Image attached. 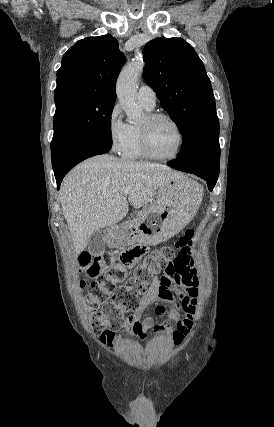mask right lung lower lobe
<instances>
[{
    "instance_id": "right-lung-lower-lobe-1",
    "label": "right lung lower lobe",
    "mask_w": 274,
    "mask_h": 427,
    "mask_svg": "<svg viewBox=\"0 0 274 427\" xmlns=\"http://www.w3.org/2000/svg\"><path fill=\"white\" fill-rule=\"evenodd\" d=\"M112 147L111 142L94 141L87 143L80 148L70 153L64 160L56 166H53L54 175L56 178L57 189H59L63 177L73 168L76 164L86 158L94 155L107 153Z\"/></svg>"
}]
</instances>
